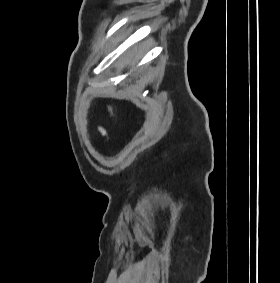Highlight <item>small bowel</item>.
<instances>
[{
  "label": "small bowel",
  "instance_id": "small-bowel-1",
  "mask_svg": "<svg viewBox=\"0 0 280 283\" xmlns=\"http://www.w3.org/2000/svg\"><path fill=\"white\" fill-rule=\"evenodd\" d=\"M97 129L101 135L107 136V131L105 128H103L102 126H98Z\"/></svg>",
  "mask_w": 280,
  "mask_h": 283
}]
</instances>
